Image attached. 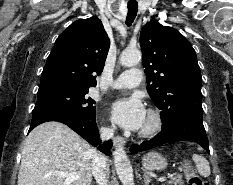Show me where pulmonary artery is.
Returning a JSON list of instances; mask_svg holds the SVG:
<instances>
[{
    "label": "pulmonary artery",
    "instance_id": "obj_1",
    "mask_svg": "<svg viewBox=\"0 0 233 185\" xmlns=\"http://www.w3.org/2000/svg\"><path fill=\"white\" fill-rule=\"evenodd\" d=\"M142 71L139 68H130L121 73L111 84L113 89L134 88L142 82Z\"/></svg>",
    "mask_w": 233,
    "mask_h": 185
}]
</instances>
